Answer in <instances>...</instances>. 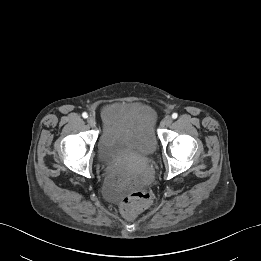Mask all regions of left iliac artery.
<instances>
[{
  "instance_id": "1",
  "label": "left iliac artery",
  "mask_w": 261,
  "mask_h": 261,
  "mask_svg": "<svg viewBox=\"0 0 261 261\" xmlns=\"http://www.w3.org/2000/svg\"><path fill=\"white\" fill-rule=\"evenodd\" d=\"M177 117H178V114H177V113H173V114H172V118H173V119H176Z\"/></svg>"
}]
</instances>
